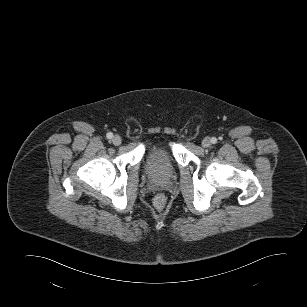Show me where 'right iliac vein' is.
Returning a JSON list of instances; mask_svg holds the SVG:
<instances>
[{
	"label": "right iliac vein",
	"instance_id": "1",
	"mask_svg": "<svg viewBox=\"0 0 307 307\" xmlns=\"http://www.w3.org/2000/svg\"><path fill=\"white\" fill-rule=\"evenodd\" d=\"M121 137L118 136V135H115L112 139V143L116 146L120 145L121 144Z\"/></svg>",
	"mask_w": 307,
	"mask_h": 307
}]
</instances>
